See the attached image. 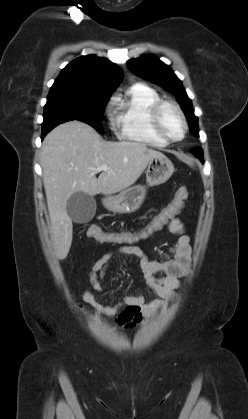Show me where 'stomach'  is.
<instances>
[{
  "mask_svg": "<svg viewBox=\"0 0 248 419\" xmlns=\"http://www.w3.org/2000/svg\"><path fill=\"white\" fill-rule=\"evenodd\" d=\"M174 172V165L167 157L152 158L146 169L148 186H157L166 182ZM146 196V187L133 186L118 195L103 200L104 206L113 212L132 213L140 208Z\"/></svg>",
  "mask_w": 248,
  "mask_h": 419,
  "instance_id": "1",
  "label": "stomach"
}]
</instances>
